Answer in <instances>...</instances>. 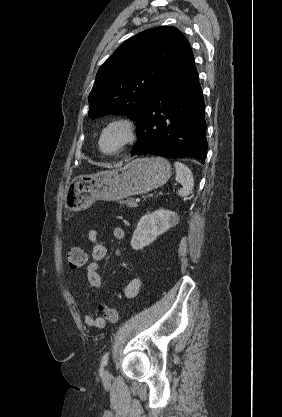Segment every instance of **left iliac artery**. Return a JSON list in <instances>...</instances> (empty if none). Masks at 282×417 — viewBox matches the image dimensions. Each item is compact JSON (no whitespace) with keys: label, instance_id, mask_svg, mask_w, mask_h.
Here are the masks:
<instances>
[{"label":"left iliac artery","instance_id":"left-iliac-artery-1","mask_svg":"<svg viewBox=\"0 0 282 417\" xmlns=\"http://www.w3.org/2000/svg\"><path fill=\"white\" fill-rule=\"evenodd\" d=\"M108 357H109V352H106V353L103 355L102 360H101L102 365H107V362H108Z\"/></svg>","mask_w":282,"mask_h":417}]
</instances>
